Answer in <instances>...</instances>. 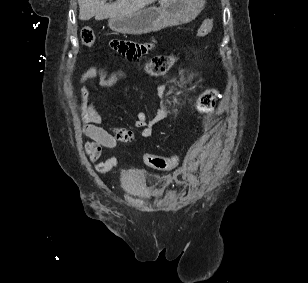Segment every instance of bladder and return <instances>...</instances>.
Here are the masks:
<instances>
[{
    "label": "bladder",
    "mask_w": 308,
    "mask_h": 283,
    "mask_svg": "<svg viewBox=\"0 0 308 283\" xmlns=\"http://www.w3.org/2000/svg\"><path fill=\"white\" fill-rule=\"evenodd\" d=\"M124 190L132 195H139L142 188V180L137 173L126 172L122 176Z\"/></svg>",
    "instance_id": "31cf9c89"
}]
</instances>
